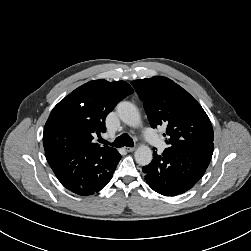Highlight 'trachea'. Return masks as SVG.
Returning a JSON list of instances; mask_svg holds the SVG:
<instances>
[{"mask_svg": "<svg viewBox=\"0 0 251 251\" xmlns=\"http://www.w3.org/2000/svg\"><path fill=\"white\" fill-rule=\"evenodd\" d=\"M101 143H107L109 144L107 141L100 139L99 140ZM111 146L114 147H123V146H127V147H133L134 146V142L133 139L126 133L120 135L119 137H117L115 139V141L113 143L110 144Z\"/></svg>", "mask_w": 251, "mask_h": 251, "instance_id": "3493384b", "label": "trachea"}]
</instances>
